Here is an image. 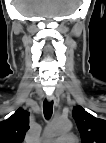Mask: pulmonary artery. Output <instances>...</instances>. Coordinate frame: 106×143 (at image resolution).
<instances>
[{"mask_svg": "<svg viewBox=\"0 0 106 143\" xmlns=\"http://www.w3.org/2000/svg\"><path fill=\"white\" fill-rule=\"evenodd\" d=\"M58 140H63L66 142H74L76 140V138L73 135H66L64 137L58 138Z\"/></svg>", "mask_w": 106, "mask_h": 143, "instance_id": "e3ab8cb5", "label": "pulmonary artery"}]
</instances>
